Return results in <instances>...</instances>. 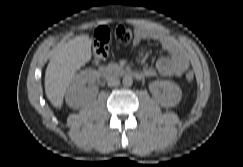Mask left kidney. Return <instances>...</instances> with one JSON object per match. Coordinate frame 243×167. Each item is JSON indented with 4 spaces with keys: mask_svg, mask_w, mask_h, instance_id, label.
<instances>
[{
    "mask_svg": "<svg viewBox=\"0 0 243 167\" xmlns=\"http://www.w3.org/2000/svg\"><path fill=\"white\" fill-rule=\"evenodd\" d=\"M154 100L162 107L176 106L182 97L180 87L172 81L157 80L149 84ZM163 90V93H161Z\"/></svg>",
    "mask_w": 243,
    "mask_h": 167,
    "instance_id": "5707ae66",
    "label": "left kidney"
}]
</instances>
